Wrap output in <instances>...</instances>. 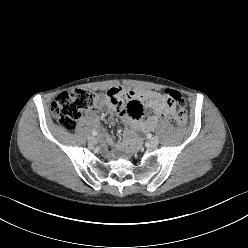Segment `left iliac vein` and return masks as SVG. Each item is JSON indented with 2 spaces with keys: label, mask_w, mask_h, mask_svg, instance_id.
<instances>
[{
  "label": "left iliac vein",
  "mask_w": 248,
  "mask_h": 248,
  "mask_svg": "<svg viewBox=\"0 0 248 248\" xmlns=\"http://www.w3.org/2000/svg\"><path fill=\"white\" fill-rule=\"evenodd\" d=\"M149 142H150V145H151L152 147H155V146H157L158 143H159V138L156 137V136H154V137H152V138L150 139Z\"/></svg>",
  "instance_id": "1"
}]
</instances>
